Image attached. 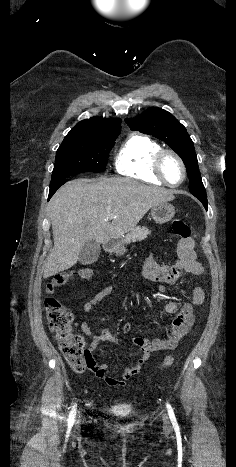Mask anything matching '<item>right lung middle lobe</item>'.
Listing matches in <instances>:
<instances>
[{
    "mask_svg": "<svg viewBox=\"0 0 236 467\" xmlns=\"http://www.w3.org/2000/svg\"><path fill=\"white\" fill-rule=\"evenodd\" d=\"M119 134H68L56 152L50 185L77 173L105 171Z\"/></svg>",
    "mask_w": 236,
    "mask_h": 467,
    "instance_id": "right-lung-middle-lobe-1",
    "label": "right lung middle lobe"
}]
</instances>
